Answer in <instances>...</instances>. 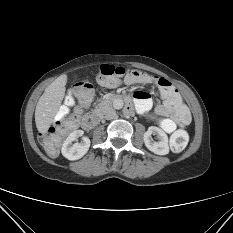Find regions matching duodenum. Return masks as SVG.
<instances>
[{"label":"duodenum","mask_w":233,"mask_h":233,"mask_svg":"<svg viewBox=\"0 0 233 233\" xmlns=\"http://www.w3.org/2000/svg\"><path fill=\"white\" fill-rule=\"evenodd\" d=\"M116 100L123 99L126 102V110L129 113L133 112V104L129 97L125 95H119L115 97ZM101 118V113L99 111L89 113L82 118L81 125L85 130H90L94 128Z\"/></svg>","instance_id":"obj_1"}]
</instances>
